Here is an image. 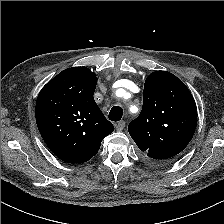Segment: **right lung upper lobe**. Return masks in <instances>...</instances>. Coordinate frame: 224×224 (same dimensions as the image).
Segmentation results:
<instances>
[{"instance_id":"cb5924a9","label":"right lung upper lobe","mask_w":224,"mask_h":224,"mask_svg":"<svg viewBox=\"0 0 224 224\" xmlns=\"http://www.w3.org/2000/svg\"><path fill=\"white\" fill-rule=\"evenodd\" d=\"M96 74L86 67L61 71L40 91L35 107L39 132L49 149L68 163H84L114 131L93 95Z\"/></svg>"}]
</instances>
